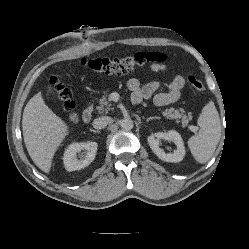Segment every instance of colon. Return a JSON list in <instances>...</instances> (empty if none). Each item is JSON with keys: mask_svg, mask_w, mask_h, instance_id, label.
<instances>
[{"mask_svg": "<svg viewBox=\"0 0 249 249\" xmlns=\"http://www.w3.org/2000/svg\"><path fill=\"white\" fill-rule=\"evenodd\" d=\"M166 61V55L160 52H138L124 57H97L83 59L82 67L103 74H127L145 67L161 66ZM190 86L196 91H203L205 86L201 79L193 74L187 76ZM50 85L55 98L62 109L69 113L75 108L72 93L58 78L53 77Z\"/></svg>", "mask_w": 249, "mask_h": 249, "instance_id": "5ec220e1", "label": "colon"}]
</instances>
